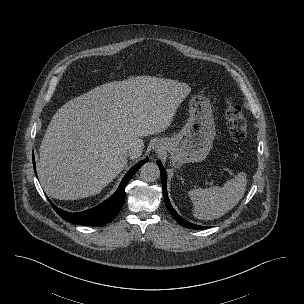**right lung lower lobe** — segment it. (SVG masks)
<instances>
[{"label": "right lung lower lobe", "instance_id": "obj_1", "mask_svg": "<svg viewBox=\"0 0 304 304\" xmlns=\"http://www.w3.org/2000/svg\"><path fill=\"white\" fill-rule=\"evenodd\" d=\"M148 161V158L140 161L138 164L133 166L122 179L119 188L116 193L113 194L109 199L99 204L98 206L77 213H69L64 210L57 208L51 203L55 211L60 217H62L67 222H71L78 225H88V226H100L111 222L120 209L122 208L125 200V187L128 181L134 176L137 170ZM33 166L35 170V161L33 156Z\"/></svg>", "mask_w": 304, "mask_h": 304}]
</instances>
